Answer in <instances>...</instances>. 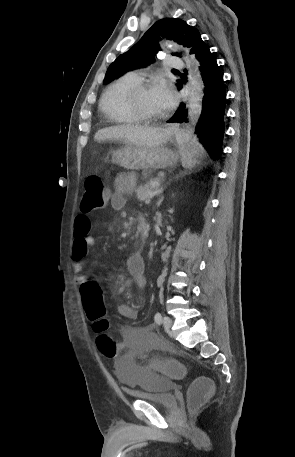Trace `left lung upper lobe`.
<instances>
[{
	"mask_svg": "<svg viewBox=\"0 0 295 457\" xmlns=\"http://www.w3.org/2000/svg\"><path fill=\"white\" fill-rule=\"evenodd\" d=\"M161 38L174 40L178 44L192 48L201 35L197 29L185 21L176 18H164L157 21L143 37L127 52L121 54L108 68L104 81H112L126 72L149 64L161 49ZM178 55V54H173ZM180 81L176 84L179 88Z\"/></svg>",
	"mask_w": 295,
	"mask_h": 457,
	"instance_id": "5c2ea615",
	"label": "left lung upper lobe"
}]
</instances>
